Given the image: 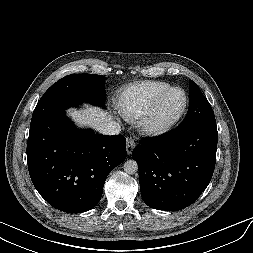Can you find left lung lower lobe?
Segmentation results:
<instances>
[{
    "instance_id": "1",
    "label": "left lung lower lobe",
    "mask_w": 253,
    "mask_h": 253,
    "mask_svg": "<svg viewBox=\"0 0 253 253\" xmlns=\"http://www.w3.org/2000/svg\"><path fill=\"white\" fill-rule=\"evenodd\" d=\"M217 139L216 122L210 121L141 140L132 157L139 166L144 202L167 211L191 205L212 178Z\"/></svg>"
}]
</instances>
